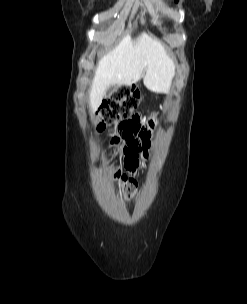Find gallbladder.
<instances>
[{"label": "gallbladder", "mask_w": 247, "mask_h": 304, "mask_svg": "<svg viewBox=\"0 0 247 304\" xmlns=\"http://www.w3.org/2000/svg\"><path fill=\"white\" fill-rule=\"evenodd\" d=\"M114 90H115V87H114V86L108 87V88L106 89V91H105V95H106V96H110V95L114 92Z\"/></svg>", "instance_id": "1"}]
</instances>
